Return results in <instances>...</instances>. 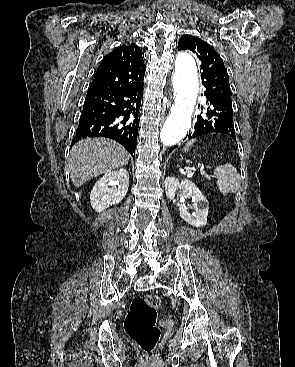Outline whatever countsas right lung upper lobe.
I'll use <instances>...</instances> for the list:
<instances>
[{
	"label": "right lung upper lobe",
	"mask_w": 295,
	"mask_h": 367,
	"mask_svg": "<svg viewBox=\"0 0 295 367\" xmlns=\"http://www.w3.org/2000/svg\"><path fill=\"white\" fill-rule=\"evenodd\" d=\"M145 66L140 48L122 45L106 55L90 89L121 90L143 85Z\"/></svg>",
	"instance_id": "obj_1"
}]
</instances>
